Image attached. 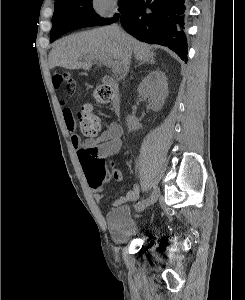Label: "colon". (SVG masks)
<instances>
[{
  "instance_id": "colon-1",
  "label": "colon",
  "mask_w": 245,
  "mask_h": 300,
  "mask_svg": "<svg viewBox=\"0 0 245 300\" xmlns=\"http://www.w3.org/2000/svg\"><path fill=\"white\" fill-rule=\"evenodd\" d=\"M53 84L55 88L62 85L66 86L69 93H73L76 88V81L69 72H59L53 76ZM93 97L99 103H109L113 98V90L107 85L96 88ZM79 126L82 134L94 139L100 129L99 118L93 113L90 105H84L77 114ZM81 164L86 174L89 184L93 188H97L106 178V160L97 155L94 148L83 149L80 153Z\"/></svg>"
}]
</instances>
